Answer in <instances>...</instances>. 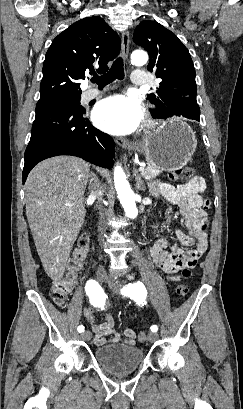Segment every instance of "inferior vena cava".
<instances>
[{"label": "inferior vena cava", "mask_w": 243, "mask_h": 409, "mask_svg": "<svg viewBox=\"0 0 243 409\" xmlns=\"http://www.w3.org/2000/svg\"><path fill=\"white\" fill-rule=\"evenodd\" d=\"M91 194L98 199L99 206L101 207V200H102L103 195H104V190L102 189V187H100L99 182L96 183L93 190L91 191ZM100 215H101V218H103V214L101 212H100ZM104 227H105L104 221L100 220L99 230L101 231V234L104 231Z\"/></svg>", "instance_id": "1"}]
</instances>
